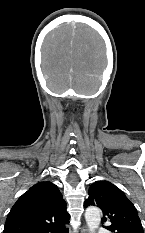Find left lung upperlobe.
<instances>
[{"mask_svg":"<svg viewBox=\"0 0 145 233\" xmlns=\"http://www.w3.org/2000/svg\"><path fill=\"white\" fill-rule=\"evenodd\" d=\"M84 206H97L102 211V223L112 233H143L137 210L126 195L108 181H96L89 188Z\"/></svg>","mask_w":145,"mask_h":233,"instance_id":"1","label":"left lung upper lobe"}]
</instances>
